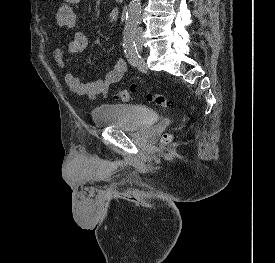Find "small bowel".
<instances>
[{"instance_id":"small-bowel-1","label":"small bowel","mask_w":275,"mask_h":263,"mask_svg":"<svg viewBox=\"0 0 275 263\" xmlns=\"http://www.w3.org/2000/svg\"><path fill=\"white\" fill-rule=\"evenodd\" d=\"M81 0H65L56 13V25L62 31L60 41L64 40V31L71 30L77 21V15L73 10V6ZM109 22L114 23L119 19V10L111 9L107 15ZM88 45V38L82 32H75L67 45V50L70 53L77 54L85 50ZM54 59L58 67L65 68L64 48L60 45L54 52ZM127 72V64L125 60L118 59L112 70H110L105 78L98 79L90 83H84L79 80L72 72L65 74V83L67 87L78 95L87 96L90 99H95L98 96L107 97L109 88L112 84L119 82Z\"/></svg>"}]
</instances>
